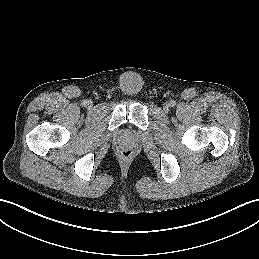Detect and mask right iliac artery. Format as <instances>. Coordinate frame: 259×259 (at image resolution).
Returning a JSON list of instances; mask_svg holds the SVG:
<instances>
[{"instance_id": "obj_1", "label": "right iliac artery", "mask_w": 259, "mask_h": 259, "mask_svg": "<svg viewBox=\"0 0 259 259\" xmlns=\"http://www.w3.org/2000/svg\"><path fill=\"white\" fill-rule=\"evenodd\" d=\"M87 103H88V101H87V100H83V101H82V105H83V106H86V105H87Z\"/></svg>"}]
</instances>
